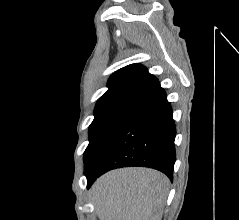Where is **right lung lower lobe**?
<instances>
[{
	"label": "right lung lower lobe",
	"mask_w": 239,
	"mask_h": 220,
	"mask_svg": "<svg viewBox=\"0 0 239 220\" xmlns=\"http://www.w3.org/2000/svg\"><path fill=\"white\" fill-rule=\"evenodd\" d=\"M172 108L160 86L132 105L123 122L86 175L89 188L97 177L120 167L143 166L171 180L176 160Z\"/></svg>",
	"instance_id": "right-lung-lower-lobe-1"
}]
</instances>
